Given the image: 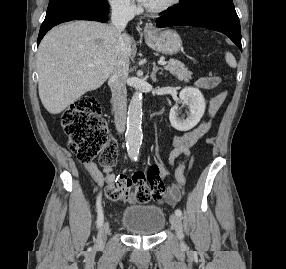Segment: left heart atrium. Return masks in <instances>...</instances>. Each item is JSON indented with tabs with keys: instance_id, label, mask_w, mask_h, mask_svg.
<instances>
[{
	"instance_id": "1",
	"label": "left heart atrium",
	"mask_w": 286,
	"mask_h": 269,
	"mask_svg": "<svg viewBox=\"0 0 286 269\" xmlns=\"http://www.w3.org/2000/svg\"><path fill=\"white\" fill-rule=\"evenodd\" d=\"M138 1L143 5H147L149 0H138Z\"/></svg>"
}]
</instances>
